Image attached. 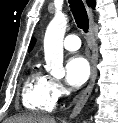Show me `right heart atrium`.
<instances>
[{
    "mask_svg": "<svg viewBox=\"0 0 118 123\" xmlns=\"http://www.w3.org/2000/svg\"><path fill=\"white\" fill-rule=\"evenodd\" d=\"M49 87H50L51 94L55 100H58L63 96L64 88L59 80L54 78H49Z\"/></svg>",
    "mask_w": 118,
    "mask_h": 123,
    "instance_id": "1",
    "label": "right heart atrium"
}]
</instances>
